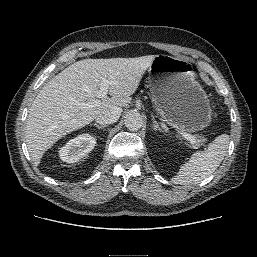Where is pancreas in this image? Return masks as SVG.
Returning <instances> with one entry per match:
<instances>
[{"label":"pancreas","instance_id":"obj_1","mask_svg":"<svg viewBox=\"0 0 257 257\" xmlns=\"http://www.w3.org/2000/svg\"><path fill=\"white\" fill-rule=\"evenodd\" d=\"M194 137H195L196 143L192 144V147L193 148H198L200 143L204 142L205 139L203 137H201V136H194Z\"/></svg>","mask_w":257,"mask_h":257}]
</instances>
